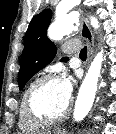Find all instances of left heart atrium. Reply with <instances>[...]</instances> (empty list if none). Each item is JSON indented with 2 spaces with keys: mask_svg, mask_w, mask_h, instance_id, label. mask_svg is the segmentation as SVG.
Wrapping results in <instances>:
<instances>
[{
  "mask_svg": "<svg viewBox=\"0 0 116 134\" xmlns=\"http://www.w3.org/2000/svg\"><path fill=\"white\" fill-rule=\"evenodd\" d=\"M59 87L63 97L70 102L73 93V79L68 74H63L58 79Z\"/></svg>",
  "mask_w": 116,
  "mask_h": 134,
  "instance_id": "39dd6f15",
  "label": "left heart atrium"
}]
</instances>
